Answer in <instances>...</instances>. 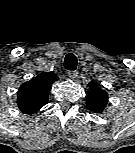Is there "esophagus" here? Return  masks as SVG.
Here are the masks:
<instances>
[{"instance_id": "esophagus-1", "label": "esophagus", "mask_w": 135, "mask_h": 153, "mask_svg": "<svg viewBox=\"0 0 135 153\" xmlns=\"http://www.w3.org/2000/svg\"><path fill=\"white\" fill-rule=\"evenodd\" d=\"M78 75V72L77 71H69L68 72V76L70 79H75Z\"/></svg>"}]
</instances>
